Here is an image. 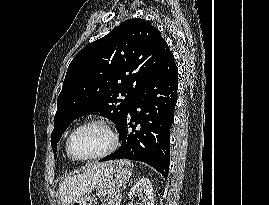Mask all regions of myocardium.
Masks as SVG:
<instances>
[{
	"instance_id": "f54148a6",
	"label": "myocardium",
	"mask_w": 269,
	"mask_h": 205,
	"mask_svg": "<svg viewBox=\"0 0 269 205\" xmlns=\"http://www.w3.org/2000/svg\"><path fill=\"white\" fill-rule=\"evenodd\" d=\"M93 124L101 125L107 131L110 137V145L107 149H105L104 151L98 154L88 156V157H78L72 151V139L75 133L79 131L81 128L86 127L88 125H93ZM118 145H119V138L115 130L114 124L109 119L103 116H95L81 122L71 131V133L69 134L67 138L66 150L69 157L75 161H91V160L101 159L112 154L117 149Z\"/></svg>"
}]
</instances>
